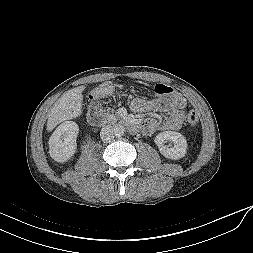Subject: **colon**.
I'll list each match as a JSON object with an SVG mask.
<instances>
[{"instance_id":"5ec220e1","label":"colon","mask_w":253,"mask_h":253,"mask_svg":"<svg viewBox=\"0 0 253 253\" xmlns=\"http://www.w3.org/2000/svg\"><path fill=\"white\" fill-rule=\"evenodd\" d=\"M110 90L111 87L109 85L101 86L93 91L91 98L98 99L102 95L108 93ZM154 91L159 96H167L173 92V88L168 85L158 84L155 86ZM198 121H199L198 114L195 111H191L187 116L188 124L192 127H195L198 124Z\"/></svg>"}]
</instances>
